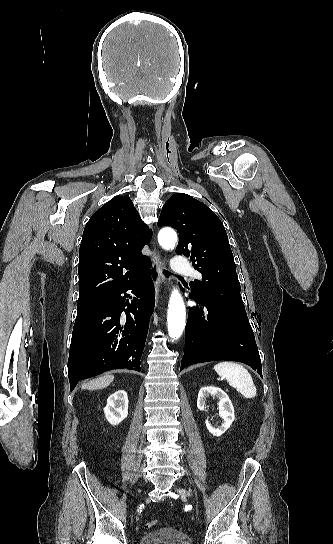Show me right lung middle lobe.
<instances>
[{"instance_id":"dd1d6c3e","label":"right lung middle lobe","mask_w":333,"mask_h":544,"mask_svg":"<svg viewBox=\"0 0 333 544\" xmlns=\"http://www.w3.org/2000/svg\"><path fill=\"white\" fill-rule=\"evenodd\" d=\"M110 298L111 296H103V297H97V298L87 299L83 301H78L77 302V317L85 315L87 313H90L98 309L100 306L106 303Z\"/></svg>"}]
</instances>
